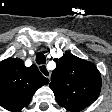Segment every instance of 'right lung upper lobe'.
<instances>
[{"mask_svg": "<svg viewBox=\"0 0 112 112\" xmlns=\"http://www.w3.org/2000/svg\"><path fill=\"white\" fill-rule=\"evenodd\" d=\"M49 82L36 65L26 67L18 58L0 62V105L9 111L28 106L38 88Z\"/></svg>", "mask_w": 112, "mask_h": 112, "instance_id": "cb5924a9", "label": "right lung upper lobe"}]
</instances>
